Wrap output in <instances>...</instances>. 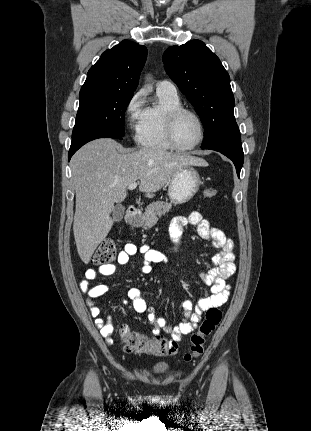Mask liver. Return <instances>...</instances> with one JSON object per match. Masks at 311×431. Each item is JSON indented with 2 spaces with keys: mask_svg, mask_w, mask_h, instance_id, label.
Returning a JSON list of instances; mask_svg holds the SVG:
<instances>
[{
  "mask_svg": "<svg viewBox=\"0 0 311 431\" xmlns=\"http://www.w3.org/2000/svg\"><path fill=\"white\" fill-rule=\"evenodd\" d=\"M185 166L209 164L197 156L158 148L131 152L110 138L80 148L71 160V172L76 192L73 233L82 261L89 263L97 245L108 235L114 223V204L126 200L130 184L140 180L139 192L154 198Z\"/></svg>",
  "mask_w": 311,
  "mask_h": 431,
  "instance_id": "1",
  "label": "liver"
}]
</instances>
